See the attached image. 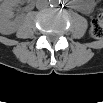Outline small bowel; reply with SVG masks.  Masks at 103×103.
<instances>
[{"label": "small bowel", "mask_w": 103, "mask_h": 103, "mask_svg": "<svg viewBox=\"0 0 103 103\" xmlns=\"http://www.w3.org/2000/svg\"><path fill=\"white\" fill-rule=\"evenodd\" d=\"M80 11L84 13H90L93 9V3L92 2H84L79 5Z\"/></svg>", "instance_id": "obj_1"}]
</instances>
